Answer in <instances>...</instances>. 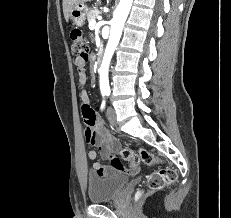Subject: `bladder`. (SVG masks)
<instances>
[{
    "mask_svg": "<svg viewBox=\"0 0 231 218\" xmlns=\"http://www.w3.org/2000/svg\"><path fill=\"white\" fill-rule=\"evenodd\" d=\"M128 183L124 176H99L90 174L88 177V199L91 203H102L117 198Z\"/></svg>",
    "mask_w": 231,
    "mask_h": 218,
    "instance_id": "obj_1",
    "label": "bladder"
}]
</instances>
